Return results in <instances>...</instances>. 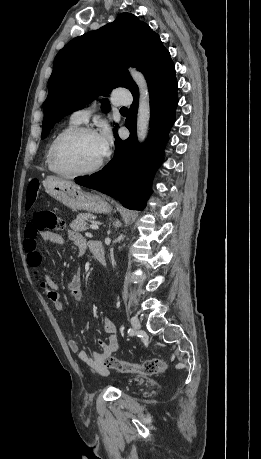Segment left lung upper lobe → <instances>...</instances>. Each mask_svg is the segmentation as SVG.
<instances>
[{
	"instance_id": "5c2ea615",
	"label": "left lung upper lobe",
	"mask_w": 261,
	"mask_h": 459,
	"mask_svg": "<svg viewBox=\"0 0 261 459\" xmlns=\"http://www.w3.org/2000/svg\"><path fill=\"white\" fill-rule=\"evenodd\" d=\"M172 62L159 35L130 13H122L113 23L74 38L54 59L43 105L41 138L47 137L61 118L82 109L100 93L106 96L117 87H125L132 94L138 92L125 68L137 67L149 85ZM101 102L102 111L107 113V100Z\"/></svg>"
}]
</instances>
